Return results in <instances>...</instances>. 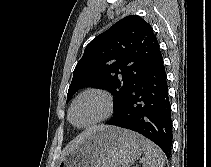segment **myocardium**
<instances>
[{
	"label": "myocardium",
	"instance_id": "obj_1",
	"mask_svg": "<svg viewBox=\"0 0 211 167\" xmlns=\"http://www.w3.org/2000/svg\"><path fill=\"white\" fill-rule=\"evenodd\" d=\"M90 94H95V95H98L100 97H102V99L104 100V103H105V111L104 113L98 117L97 119L85 124V125H77L74 123V121L72 120V111H73V108L74 106L76 105V103L83 97L87 96V95H90ZM113 108H114V103H113V98L111 96V94L103 89V88H99V87H90V88H87L85 90H83L82 92H80L75 98L74 100L72 101L70 107H69V111H68V119L69 121L71 122V124L73 126H75L76 128H79V129H85V128H89V127H92L94 125H97L99 123H102L103 121L107 120L112 112H113Z\"/></svg>",
	"mask_w": 211,
	"mask_h": 167
}]
</instances>
